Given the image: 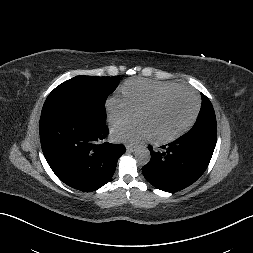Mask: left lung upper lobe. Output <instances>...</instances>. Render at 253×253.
<instances>
[{
  "mask_svg": "<svg viewBox=\"0 0 253 253\" xmlns=\"http://www.w3.org/2000/svg\"><path fill=\"white\" fill-rule=\"evenodd\" d=\"M202 106L197 121L193 128L184 135H202L212 141H216L217 125L214 108L210 100L202 94Z\"/></svg>",
  "mask_w": 253,
  "mask_h": 253,
  "instance_id": "1",
  "label": "left lung upper lobe"
}]
</instances>
